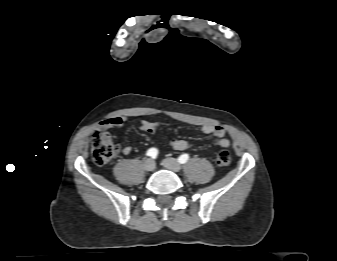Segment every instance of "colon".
I'll return each mask as SVG.
<instances>
[{
    "instance_id": "1",
    "label": "colon",
    "mask_w": 337,
    "mask_h": 261,
    "mask_svg": "<svg viewBox=\"0 0 337 261\" xmlns=\"http://www.w3.org/2000/svg\"><path fill=\"white\" fill-rule=\"evenodd\" d=\"M91 152L94 162L98 165H105L114 157L116 148L107 132L96 131L92 136ZM231 162V155L228 151H220L216 156V164L219 167H227Z\"/></svg>"
}]
</instances>
